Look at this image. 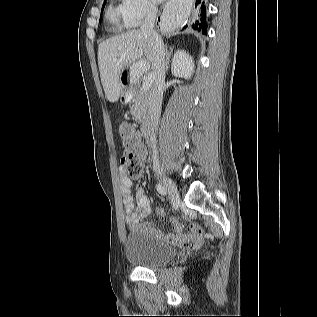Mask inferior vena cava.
I'll list each match as a JSON object with an SVG mask.
<instances>
[{"label": "inferior vena cava", "instance_id": "1", "mask_svg": "<svg viewBox=\"0 0 317 317\" xmlns=\"http://www.w3.org/2000/svg\"><path fill=\"white\" fill-rule=\"evenodd\" d=\"M157 6L149 4L147 6V15L142 22L141 32L148 37L153 46V85L148 95V113L150 117V145L152 148V158L154 167L159 166L156 131L161 114V105L163 98V89L165 85V72L167 68L166 53L162 39L154 30V24L157 16Z\"/></svg>", "mask_w": 317, "mask_h": 317}]
</instances>
